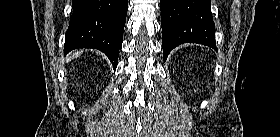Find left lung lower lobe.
Returning a JSON list of instances; mask_svg holds the SVG:
<instances>
[{
    "label": "left lung lower lobe",
    "mask_w": 280,
    "mask_h": 137,
    "mask_svg": "<svg viewBox=\"0 0 280 137\" xmlns=\"http://www.w3.org/2000/svg\"><path fill=\"white\" fill-rule=\"evenodd\" d=\"M210 0H160L164 61L183 43L216 48Z\"/></svg>",
    "instance_id": "left-lung-lower-lobe-1"
}]
</instances>
